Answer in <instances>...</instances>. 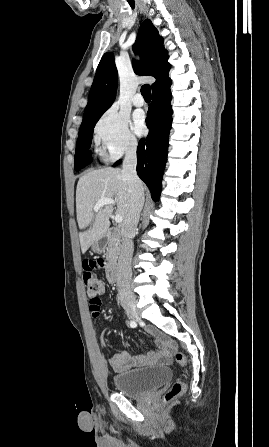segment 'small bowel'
Listing matches in <instances>:
<instances>
[{"label": "small bowel", "instance_id": "small-bowel-1", "mask_svg": "<svg viewBox=\"0 0 269 447\" xmlns=\"http://www.w3.org/2000/svg\"><path fill=\"white\" fill-rule=\"evenodd\" d=\"M146 331L155 340L158 350L150 355H131L129 349L109 358V364L116 372H122L146 364H169L174 354V346L164 339L165 335L154 328L148 327Z\"/></svg>", "mask_w": 269, "mask_h": 447}]
</instances>
